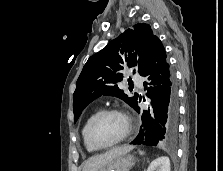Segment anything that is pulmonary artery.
Returning <instances> with one entry per match:
<instances>
[{
  "label": "pulmonary artery",
  "mask_w": 223,
  "mask_h": 171,
  "mask_svg": "<svg viewBox=\"0 0 223 171\" xmlns=\"http://www.w3.org/2000/svg\"><path fill=\"white\" fill-rule=\"evenodd\" d=\"M133 81H134L135 85H136L139 89H142V88H143V82H142V80H141L140 77H138V76H134V77H133Z\"/></svg>",
  "instance_id": "e3ab8cb5"
}]
</instances>
